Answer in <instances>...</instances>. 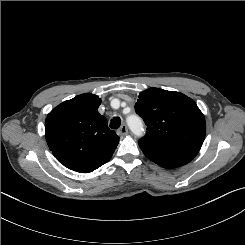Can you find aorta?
<instances>
[{
	"label": "aorta",
	"mask_w": 245,
	"mask_h": 245,
	"mask_svg": "<svg viewBox=\"0 0 245 245\" xmlns=\"http://www.w3.org/2000/svg\"><path fill=\"white\" fill-rule=\"evenodd\" d=\"M128 125L131 131L138 137L143 134L144 126L140 118L131 117L128 119Z\"/></svg>",
	"instance_id": "obj_1"
}]
</instances>
